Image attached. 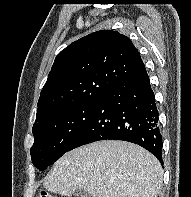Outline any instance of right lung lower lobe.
Returning <instances> with one entry per match:
<instances>
[{"instance_id":"right-lung-lower-lobe-1","label":"right lung lower lobe","mask_w":191,"mask_h":197,"mask_svg":"<svg viewBox=\"0 0 191 197\" xmlns=\"http://www.w3.org/2000/svg\"><path fill=\"white\" fill-rule=\"evenodd\" d=\"M158 110L146 69L104 91L68 151L99 140H124L154 154L162 164Z\"/></svg>"}]
</instances>
